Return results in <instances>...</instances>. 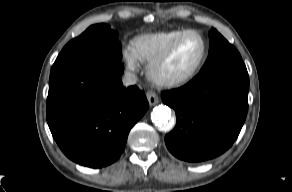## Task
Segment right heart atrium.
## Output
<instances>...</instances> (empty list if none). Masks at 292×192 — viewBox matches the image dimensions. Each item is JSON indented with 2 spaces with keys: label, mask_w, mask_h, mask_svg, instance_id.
<instances>
[{
  "label": "right heart atrium",
  "mask_w": 292,
  "mask_h": 192,
  "mask_svg": "<svg viewBox=\"0 0 292 192\" xmlns=\"http://www.w3.org/2000/svg\"><path fill=\"white\" fill-rule=\"evenodd\" d=\"M122 56L128 69L135 70L138 67V59L132 48L123 49Z\"/></svg>",
  "instance_id": "d8ad5b80"
}]
</instances>
